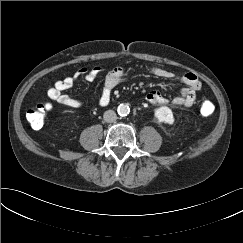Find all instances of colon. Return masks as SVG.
Masks as SVG:
<instances>
[{"instance_id": "1", "label": "colon", "mask_w": 243, "mask_h": 243, "mask_svg": "<svg viewBox=\"0 0 243 243\" xmlns=\"http://www.w3.org/2000/svg\"><path fill=\"white\" fill-rule=\"evenodd\" d=\"M51 109L50 104H40L27 112V120L34 129H40L44 125L47 111ZM215 107L210 101H203L200 105V112L204 116L213 114Z\"/></svg>"}]
</instances>
